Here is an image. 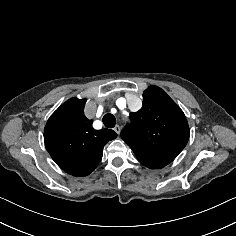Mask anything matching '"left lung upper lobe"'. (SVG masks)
Instances as JSON below:
<instances>
[{"label":"left lung upper lobe","instance_id":"5c2ea615","mask_svg":"<svg viewBox=\"0 0 236 236\" xmlns=\"http://www.w3.org/2000/svg\"><path fill=\"white\" fill-rule=\"evenodd\" d=\"M130 118L121 137L148 168L168 165L188 142L190 130L183 111L157 86L144 91L142 108Z\"/></svg>","mask_w":236,"mask_h":236}]
</instances>
